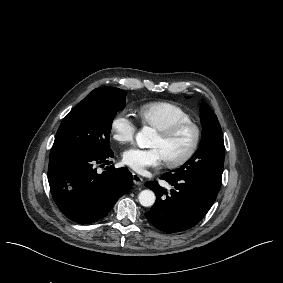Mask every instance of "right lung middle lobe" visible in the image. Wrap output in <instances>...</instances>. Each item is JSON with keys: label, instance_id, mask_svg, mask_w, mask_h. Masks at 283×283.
Segmentation results:
<instances>
[{"label": "right lung middle lobe", "instance_id": "obj_1", "mask_svg": "<svg viewBox=\"0 0 283 283\" xmlns=\"http://www.w3.org/2000/svg\"><path fill=\"white\" fill-rule=\"evenodd\" d=\"M124 90L101 87L90 92L63 119L50 155L71 151L109 153L115 114L125 107Z\"/></svg>", "mask_w": 283, "mask_h": 283}]
</instances>
